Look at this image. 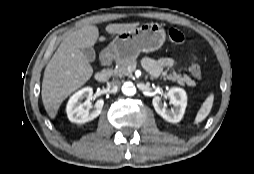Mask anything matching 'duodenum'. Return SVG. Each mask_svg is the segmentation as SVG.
Returning a JSON list of instances; mask_svg holds the SVG:
<instances>
[{"label": "duodenum", "instance_id": "duodenum-1", "mask_svg": "<svg viewBox=\"0 0 254 174\" xmlns=\"http://www.w3.org/2000/svg\"><path fill=\"white\" fill-rule=\"evenodd\" d=\"M112 58L109 55H105L102 59L101 62L104 66H109L111 64ZM95 80L104 83L108 80V73L106 71H99L95 74Z\"/></svg>", "mask_w": 254, "mask_h": 174}]
</instances>
